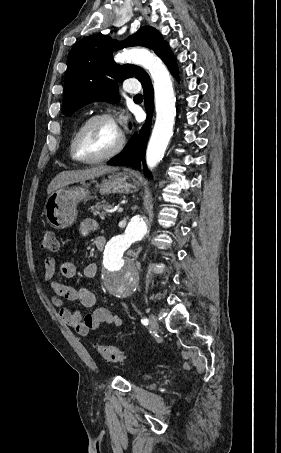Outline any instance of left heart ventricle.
Segmentation results:
<instances>
[{"instance_id": "obj_1", "label": "left heart ventricle", "mask_w": 281, "mask_h": 453, "mask_svg": "<svg viewBox=\"0 0 281 453\" xmlns=\"http://www.w3.org/2000/svg\"><path fill=\"white\" fill-rule=\"evenodd\" d=\"M120 127L115 123L97 121L85 130L79 144L80 155L86 159L101 156L118 143Z\"/></svg>"}]
</instances>
